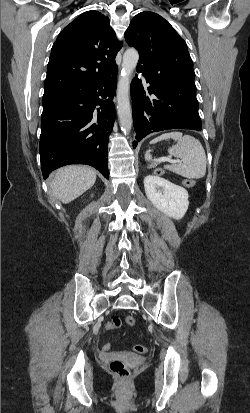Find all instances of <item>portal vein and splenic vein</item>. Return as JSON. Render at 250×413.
<instances>
[{"mask_svg":"<svg viewBox=\"0 0 250 413\" xmlns=\"http://www.w3.org/2000/svg\"><path fill=\"white\" fill-rule=\"evenodd\" d=\"M156 161H157V162H165V161H168V162H171V163L180 162L179 160H172L171 158H166V157L159 158V159H157Z\"/></svg>","mask_w":250,"mask_h":413,"instance_id":"portal-vein-and-splenic-vein-1","label":"portal vein and splenic vein"}]
</instances>
